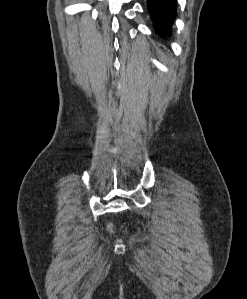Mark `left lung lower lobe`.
Segmentation results:
<instances>
[{
	"label": "left lung lower lobe",
	"mask_w": 247,
	"mask_h": 299,
	"mask_svg": "<svg viewBox=\"0 0 247 299\" xmlns=\"http://www.w3.org/2000/svg\"><path fill=\"white\" fill-rule=\"evenodd\" d=\"M148 10L157 33L170 35L171 24L176 17V0H148Z\"/></svg>",
	"instance_id": "1"
}]
</instances>
